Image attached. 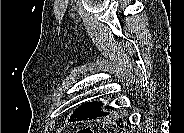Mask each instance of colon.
Segmentation results:
<instances>
[{
    "label": "colon",
    "instance_id": "obj_1",
    "mask_svg": "<svg viewBox=\"0 0 184 133\" xmlns=\"http://www.w3.org/2000/svg\"><path fill=\"white\" fill-rule=\"evenodd\" d=\"M79 132H80V133H92V131H90V129H87V128L80 129Z\"/></svg>",
    "mask_w": 184,
    "mask_h": 133
}]
</instances>
